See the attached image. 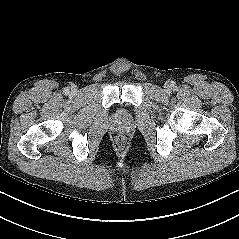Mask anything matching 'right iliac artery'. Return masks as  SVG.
I'll list each match as a JSON object with an SVG mask.
<instances>
[{"label":"right iliac artery","mask_w":239,"mask_h":239,"mask_svg":"<svg viewBox=\"0 0 239 239\" xmlns=\"http://www.w3.org/2000/svg\"><path fill=\"white\" fill-rule=\"evenodd\" d=\"M64 93H65V94H68V93H69V89L66 88V89L64 90Z\"/></svg>","instance_id":"obj_1"}]
</instances>
